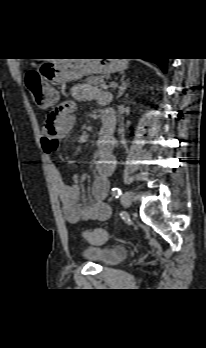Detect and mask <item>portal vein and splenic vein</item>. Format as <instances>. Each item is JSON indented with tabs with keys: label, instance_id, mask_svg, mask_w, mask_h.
<instances>
[{
	"label": "portal vein and splenic vein",
	"instance_id": "18ae733b",
	"mask_svg": "<svg viewBox=\"0 0 206 348\" xmlns=\"http://www.w3.org/2000/svg\"><path fill=\"white\" fill-rule=\"evenodd\" d=\"M109 87L115 88V87H117V83L112 82V83L109 84Z\"/></svg>",
	"mask_w": 206,
	"mask_h": 348
}]
</instances>
